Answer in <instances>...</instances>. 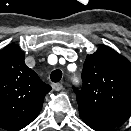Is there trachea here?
I'll list each match as a JSON object with an SVG mask.
<instances>
[{"instance_id":"1","label":"trachea","mask_w":131,"mask_h":131,"mask_svg":"<svg viewBox=\"0 0 131 131\" xmlns=\"http://www.w3.org/2000/svg\"><path fill=\"white\" fill-rule=\"evenodd\" d=\"M62 78V72L61 70H54L51 75H50V79L52 82H59Z\"/></svg>"}]
</instances>
